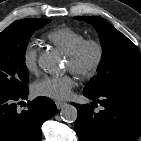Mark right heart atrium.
I'll return each instance as SVG.
<instances>
[{"mask_svg": "<svg viewBox=\"0 0 141 141\" xmlns=\"http://www.w3.org/2000/svg\"><path fill=\"white\" fill-rule=\"evenodd\" d=\"M22 61L25 70L30 74L38 71V52L33 43H28L22 54Z\"/></svg>", "mask_w": 141, "mask_h": 141, "instance_id": "1", "label": "right heart atrium"}]
</instances>
